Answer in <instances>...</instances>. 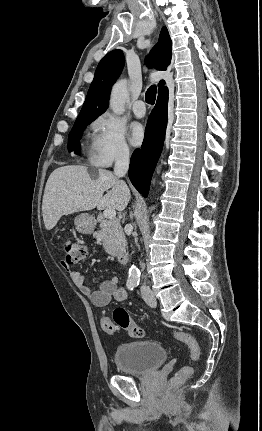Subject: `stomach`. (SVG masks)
I'll return each mask as SVG.
<instances>
[{"mask_svg":"<svg viewBox=\"0 0 262 431\" xmlns=\"http://www.w3.org/2000/svg\"><path fill=\"white\" fill-rule=\"evenodd\" d=\"M74 223L76 230L82 234H91L95 228L94 217L87 213H82L76 216Z\"/></svg>","mask_w":262,"mask_h":431,"instance_id":"0dacf381","label":"stomach"}]
</instances>
